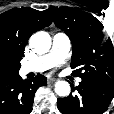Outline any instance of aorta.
I'll list each match as a JSON object with an SVG mask.
<instances>
[{"instance_id":"aorta-1","label":"aorta","mask_w":114,"mask_h":114,"mask_svg":"<svg viewBox=\"0 0 114 114\" xmlns=\"http://www.w3.org/2000/svg\"><path fill=\"white\" fill-rule=\"evenodd\" d=\"M30 47L37 54H45L51 47V37L47 32L39 31L30 37ZM55 92L60 97H66L70 93V84L67 81H58L55 84Z\"/></svg>"}]
</instances>
